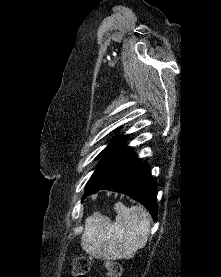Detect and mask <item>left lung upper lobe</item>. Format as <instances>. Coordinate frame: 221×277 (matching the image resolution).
<instances>
[{"mask_svg":"<svg viewBox=\"0 0 221 277\" xmlns=\"http://www.w3.org/2000/svg\"><path fill=\"white\" fill-rule=\"evenodd\" d=\"M127 137L128 135H121L113 139L97 156V158L100 157L102 160L87 182L86 187L115 175L136 157L131 147H123Z\"/></svg>","mask_w":221,"mask_h":277,"instance_id":"5c2ea615","label":"left lung upper lobe"}]
</instances>
